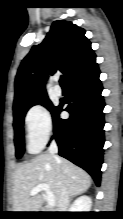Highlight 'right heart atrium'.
<instances>
[{
  "label": "right heart atrium",
  "mask_w": 123,
  "mask_h": 219,
  "mask_svg": "<svg viewBox=\"0 0 123 219\" xmlns=\"http://www.w3.org/2000/svg\"><path fill=\"white\" fill-rule=\"evenodd\" d=\"M28 149L39 152L52 133V120L48 109L42 104L32 106L24 118Z\"/></svg>",
  "instance_id": "1"
}]
</instances>
